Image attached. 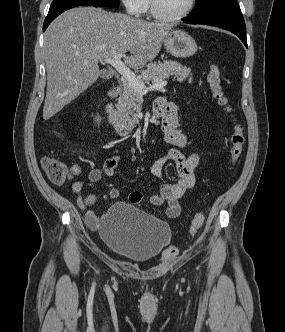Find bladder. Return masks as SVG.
<instances>
[{
  "instance_id": "1",
  "label": "bladder",
  "mask_w": 285,
  "mask_h": 332,
  "mask_svg": "<svg viewBox=\"0 0 285 332\" xmlns=\"http://www.w3.org/2000/svg\"><path fill=\"white\" fill-rule=\"evenodd\" d=\"M99 232L113 253L132 262L157 257L171 240L167 223L126 202L105 211Z\"/></svg>"
}]
</instances>
